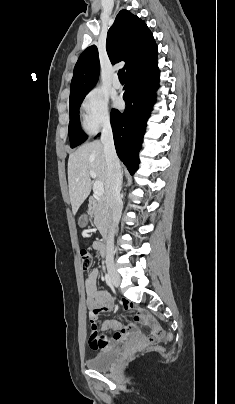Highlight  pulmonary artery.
Masks as SVG:
<instances>
[{
    "label": "pulmonary artery",
    "mask_w": 235,
    "mask_h": 404,
    "mask_svg": "<svg viewBox=\"0 0 235 404\" xmlns=\"http://www.w3.org/2000/svg\"><path fill=\"white\" fill-rule=\"evenodd\" d=\"M112 84L115 89L121 88V83H120L117 75L114 76Z\"/></svg>",
    "instance_id": "pulmonary-artery-1"
}]
</instances>
